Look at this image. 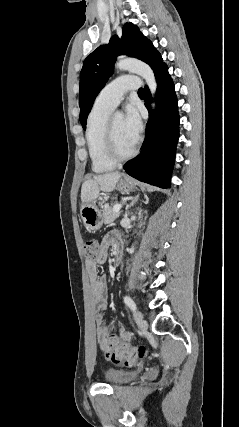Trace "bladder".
<instances>
[{
    "mask_svg": "<svg viewBox=\"0 0 239 427\" xmlns=\"http://www.w3.org/2000/svg\"><path fill=\"white\" fill-rule=\"evenodd\" d=\"M138 376L137 371L108 369L104 373L106 382L113 385H121L133 381Z\"/></svg>",
    "mask_w": 239,
    "mask_h": 427,
    "instance_id": "obj_1",
    "label": "bladder"
}]
</instances>
